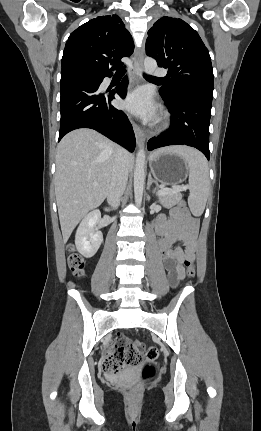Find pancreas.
I'll use <instances>...</instances> for the list:
<instances>
[{
	"label": "pancreas",
	"mask_w": 261,
	"mask_h": 431,
	"mask_svg": "<svg viewBox=\"0 0 261 431\" xmlns=\"http://www.w3.org/2000/svg\"><path fill=\"white\" fill-rule=\"evenodd\" d=\"M181 200L182 194L180 191L164 193L159 196L160 203L166 208H170L178 204Z\"/></svg>",
	"instance_id": "cf45deb5"
}]
</instances>
